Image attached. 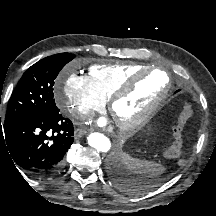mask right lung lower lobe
<instances>
[{
	"label": "right lung lower lobe",
	"mask_w": 216,
	"mask_h": 216,
	"mask_svg": "<svg viewBox=\"0 0 216 216\" xmlns=\"http://www.w3.org/2000/svg\"><path fill=\"white\" fill-rule=\"evenodd\" d=\"M73 124L59 112L0 125V150L37 178L58 174L73 143Z\"/></svg>",
	"instance_id": "obj_1"
}]
</instances>
